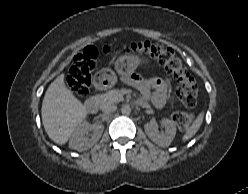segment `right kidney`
<instances>
[{
    "label": "right kidney",
    "instance_id": "ca27d5eb",
    "mask_svg": "<svg viewBox=\"0 0 248 194\" xmlns=\"http://www.w3.org/2000/svg\"><path fill=\"white\" fill-rule=\"evenodd\" d=\"M104 130L102 123L89 125L88 122H82L73 132L69 147L77 151H84L91 148L101 137ZM92 134H89V132Z\"/></svg>",
    "mask_w": 248,
    "mask_h": 194
}]
</instances>
